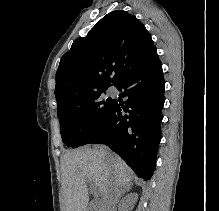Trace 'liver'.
I'll return each instance as SVG.
<instances>
[{"instance_id":"obj_1","label":"liver","mask_w":219,"mask_h":211,"mask_svg":"<svg viewBox=\"0 0 219 211\" xmlns=\"http://www.w3.org/2000/svg\"><path fill=\"white\" fill-rule=\"evenodd\" d=\"M86 177L93 179L102 199L95 203L97 211H109L112 191H120L132 183L133 171L117 153L106 147L72 149L62 159V187L66 211H88L89 187ZM91 191H94V187ZM115 205V203H112Z\"/></svg>"}]
</instances>
